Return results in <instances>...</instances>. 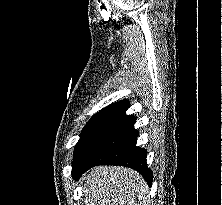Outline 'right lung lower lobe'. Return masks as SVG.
Wrapping results in <instances>:
<instances>
[{
	"label": "right lung lower lobe",
	"mask_w": 222,
	"mask_h": 205,
	"mask_svg": "<svg viewBox=\"0 0 222 205\" xmlns=\"http://www.w3.org/2000/svg\"><path fill=\"white\" fill-rule=\"evenodd\" d=\"M128 101L108 112L94 128L72 164V177L79 178L97 165H122L138 171L151 186L146 150L136 146L135 117L126 115Z\"/></svg>",
	"instance_id": "1"
}]
</instances>
